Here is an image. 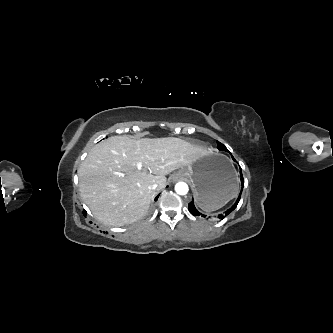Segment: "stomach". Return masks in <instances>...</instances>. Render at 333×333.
Returning <instances> with one entry per match:
<instances>
[{"label": "stomach", "instance_id": "1", "mask_svg": "<svg viewBox=\"0 0 333 333\" xmlns=\"http://www.w3.org/2000/svg\"><path fill=\"white\" fill-rule=\"evenodd\" d=\"M193 186L198 206L213 209L228 202L237 189V176L227 156L207 152L183 169Z\"/></svg>", "mask_w": 333, "mask_h": 333}]
</instances>
